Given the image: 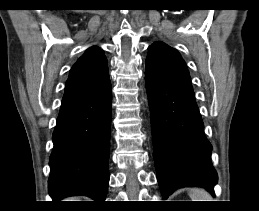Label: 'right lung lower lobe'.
<instances>
[{
	"label": "right lung lower lobe",
	"mask_w": 259,
	"mask_h": 211,
	"mask_svg": "<svg viewBox=\"0 0 259 211\" xmlns=\"http://www.w3.org/2000/svg\"><path fill=\"white\" fill-rule=\"evenodd\" d=\"M111 84L82 100L62 104L53 132L49 194L53 201L84 195L104 201L108 182Z\"/></svg>",
	"instance_id": "obj_1"
}]
</instances>
